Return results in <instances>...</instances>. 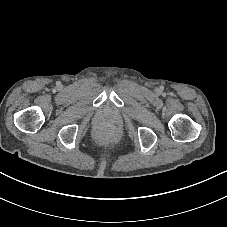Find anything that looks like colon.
Instances as JSON below:
<instances>
[{"mask_svg": "<svg viewBox=\"0 0 227 227\" xmlns=\"http://www.w3.org/2000/svg\"><path fill=\"white\" fill-rule=\"evenodd\" d=\"M112 133H113L112 130H108V131H107V135H108V134H112Z\"/></svg>", "mask_w": 227, "mask_h": 227, "instance_id": "obj_1", "label": "colon"}]
</instances>
